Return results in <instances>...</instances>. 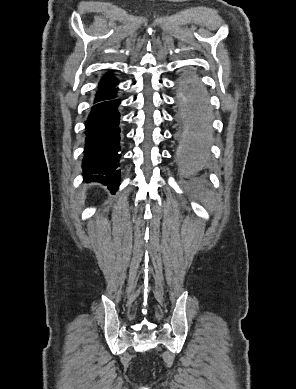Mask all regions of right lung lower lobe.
Instances as JSON below:
<instances>
[{
	"mask_svg": "<svg viewBox=\"0 0 296 389\" xmlns=\"http://www.w3.org/2000/svg\"><path fill=\"white\" fill-rule=\"evenodd\" d=\"M117 90L95 98L85 121V148L82 160L84 180L108 185L115 193L120 185L121 128Z\"/></svg>",
	"mask_w": 296,
	"mask_h": 389,
	"instance_id": "1",
	"label": "right lung lower lobe"
}]
</instances>
